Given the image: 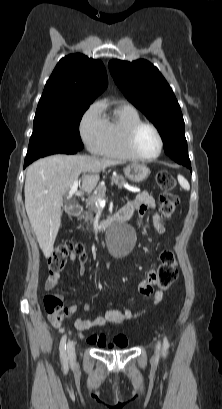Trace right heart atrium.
Wrapping results in <instances>:
<instances>
[{"label":"right heart atrium","mask_w":222,"mask_h":409,"mask_svg":"<svg viewBox=\"0 0 222 409\" xmlns=\"http://www.w3.org/2000/svg\"><path fill=\"white\" fill-rule=\"evenodd\" d=\"M105 131L106 122L102 107L97 102L93 103L82 114L79 122L80 136L90 152H99Z\"/></svg>","instance_id":"1"}]
</instances>
